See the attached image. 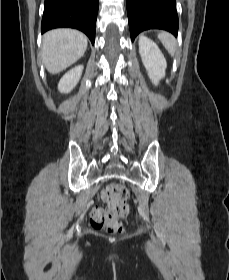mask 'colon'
Returning <instances> with one entry per match:
<instances>
[{
    "instance_id": "colon-1",
    "label": "colon",
    "mask_w": 229,
    "mask_h": 280,
    "mask_svg": "<svg viewBox=\"0 0 229 280\" xmlns=\"http://www.w3.org/2000/svg\"><path fill=\"white\" fill-rule=\"evenodd\" d=\"M128 189L120 183L106 186L102 191V198L108 203V207L95 206L91 212V224L94 228H107L111 231L122 230V218L129 211L127 199Z\"/></svg>"
}]
</instances>
